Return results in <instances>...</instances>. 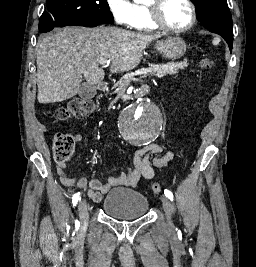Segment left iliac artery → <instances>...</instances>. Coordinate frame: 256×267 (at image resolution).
Returning a JSON list of instances; mask_svg holds the SVG:
<instances>
[{
	"mask_svg": "<svg viewBox=\"0 0 256 267\" xmlns=\"http://www.w3.org/2000/svg\"><path fill=\"white\" fill-rule=\"evenodd\" d=\"M164 194H165V196L168 197L171 201H173V194H172L171 191L165 189V190H164Z\"/></svg>",
	"mask_w": 256,
	"mask_h": 267,
	"instance_id": "obj_1",
	"label": "left iliac artery"
}]
</instances>
